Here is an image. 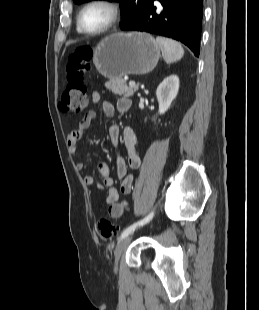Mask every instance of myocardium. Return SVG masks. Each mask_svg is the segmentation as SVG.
Returning a JSON list of instances; mask_svg holds the SVG:
<instances>
[{
  "mask_svg": "<svg viewBox=\"0 0 259 310\" xmlns=\"http://www.w3.org/2000/svg\"><path fill=\"white\" fill-rule=\"evenodd\" d=\"M93 6L105 7L110 13V18L108 22L98 30H88L83 26V23H82L83 13L88 8L93 7ZM120 19H121V8L117 2L113 0H91L81 7L77 15V27L82 33L86 35L97 36V35H102L108 32L109 30H111L113 27H115L118 24Z\"/></svg>",
  "mask_w": 259,
  "mask_h": 310,
  "instance_id": "f54148a6",
  "label": "myocardium"
}]
</instances>
